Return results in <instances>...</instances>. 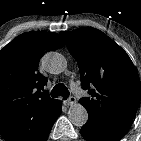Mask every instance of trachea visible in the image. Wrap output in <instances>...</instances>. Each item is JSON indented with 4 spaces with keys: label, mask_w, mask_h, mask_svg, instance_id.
<instances>
[{
    "label": "trachea",
    "mask_w": 141,
    "mask_h": 141,
    "mask_svg": "<svg viewBox=\"0 0 141 141\" xmlns=\"http://www.w3.org/2000/svg\"><path fill=\"white\" fill-rule=\"evenodd\" d=\"M52 97L62 96L64 100L69 97V91L64 84L56 85L51 91Z\"/></svg>",
    "instance_id": "3493384b"
}]
</instances>
